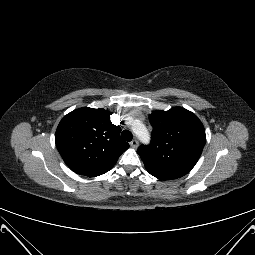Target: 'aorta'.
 I'll return each instance as SVG.
<instances>
[{"instance_id":"1","label":"aorta","mask_w":255,"mask_h":255,"mask_svg":"<svg viewBox=\"0 0 255 255\" xmlns=\"http://www.w3.org/2000/svg\"><path fill=\"white\" fill-rule=\"evenodd\" d=\"M132 129L140 141L142 142L149 141L150 135L144 124H142L141 122L135 123Z\"/></svg>"}]
</instances>
